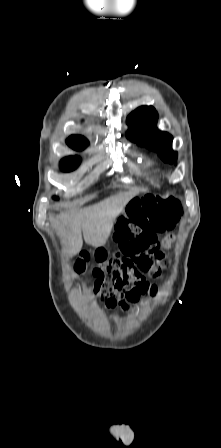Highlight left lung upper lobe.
Wrapping results in <instances>:
<instances>
[{"instance_id":"obj_1","label":"left lung upper lobe","mask_w":221,"mask_h":448,"mask_svg":"<svg viewBox=\"0 0 221 448\" xmlns=\"http://www.w3.org/2000/svg\"><path fill=\"white\" fill-rule=\"evenodd\" d=\"M158 114L151 106L137 108L127 117L130 130L126 136L138 145L157 151L164 162H176L177 153L172 150V136L157 128Z\"/></svg>"}]
</instances>
